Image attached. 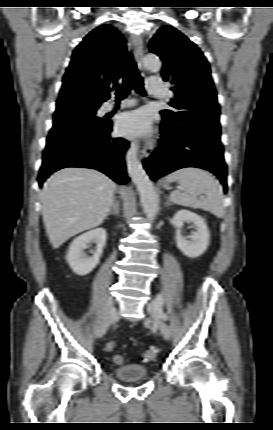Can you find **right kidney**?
<instances>
[{"label": "right kidney", "instance_id": "1", "mask_svg": "<svg viewBox=\"0 0 273 430\" xmlns=\"http://www.w3.org/2000/svg\"><path fill=\"white\" fill-rule=\"evenodd\" d=\"M106 238V230L104 228H96L77 237L70 244L66 259L75 274L81 276L87 275L98 265ZM91 243H95L97 246L93 255L87 257L83 250Z\"/></svg>", "mask_w": 273, "mask_h": 430}]
</instances>
